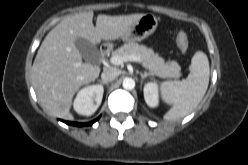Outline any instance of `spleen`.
Instances as JSON below:
<instances>
[{
    "label": "spleen",
    "instance_id": "spleen-1",
    "mask_svg": "<svg viewBox=\"0 0 248 165\" xmlns=\"http://www.w3.org/2000/svg\"><path fill=\"white\" fill-rule=\"evenodd\" d=\"M191 74L182 81H166L161 84L162 100L171 109L163 116L172 121L191 113L203 99L209 84L210 68L207 55L197 51L191 60Z\"/></svg>",
    "mask_w": 248,
    "mask_h": 165
}]
</instances>
